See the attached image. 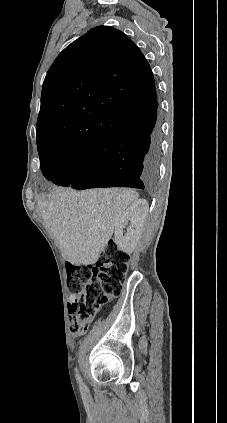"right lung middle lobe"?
<instances>
[{"mask_svg": "<svg viewBox=\"0 0 227 423\" xmlns=\"http://www.w3.org/2000/svg\"><path fill=\"white\" fill-rule=\"evenodd\" d=\"M37 145L41 164H61L69 161L73 162L77 158L84 156L88 150L68 147L54 140L37 141Z\"/></svg>", "mask_w": 227, "mask_h": 423, "instance_id": "right-lung-middle-lobe-1", "label": "right lung middle lobe"}]
</instances>
